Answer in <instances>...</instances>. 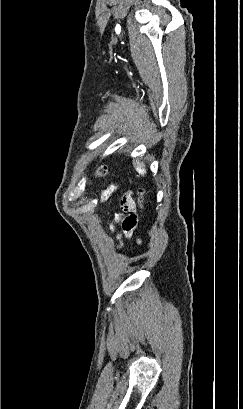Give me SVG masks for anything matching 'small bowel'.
<instances>
[{"instance_id":"obj_1","label":"small bowel","mask_w":243,"mask_h":409,"mask_svg":"<svg viewBox=\"0 0 243 409\" xmlns=\"http://www.w3.org/2000/svg\"><path fill=\"white\" fill-rule=\"evenodd\" d=\"M114 190V187L111 186L109 189L104 191L103 196H108L110 192ZM121 208L123 211V217L118 216L115 219L116 223H120L122 226V234L119 235V243L122 246V237L130 238L133 234L134 229L136 228L138 216L136 213V204L135 201L130 193L124 195L121 200ZM113 225H111V229H113Z\"/></svg>"}]
</instances>
